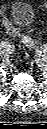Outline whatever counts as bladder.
<instances>
[{"instance_id":"obj_1","label":"bladder","mask_w":47,"mask_h":129,"mask_svg":"<svg viewBox=\"0 0 47 129\" xmlns=\"http://www.w3.org/2000/svg\"><path fill=\"white\" fill-rule=\"evenodd\" d=\"M10 19L17 28L30 27L35 20V13L28 3L16 1L11 5Z\"/></svg>"}]
</instances>
